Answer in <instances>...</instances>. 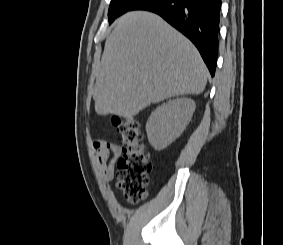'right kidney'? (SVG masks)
<instances>
[{
	"mask_svg": "<svg viewBox=\"0 0 283 245\" xmlns=\"http://www.w3.org/2000/svg\"><path fill=\"white\" fill-rule=\"evenodd\" d=\"M195 107L192 99L177 98L161 104L152 112L146 123V132L154 149H164L180 136Z\"/></svg>",
	"mask_w": 283,
	"mask_h": 245,
	"instance_id": "ca27d5eb",
	"label": "right kidney"
}]
</instances>
